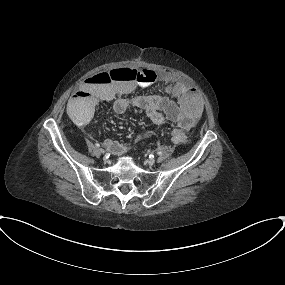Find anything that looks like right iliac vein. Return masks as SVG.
<instances>
[{
  "mask_svg": "<svg viewBox=\"0 0 285 285\" xmlns=\"http://www.w3.org/2000/svg\"><path fill=\"white\" fill-rule=\"evenodd\" d=\"M98 152H99L100 154H104V153H105V150H104L103 148H100V149H98Z\"/></svg>",
  "mask_w": 285,
  "mask_h": 285,
  "instance_id": "63e3f726",
  "label": "right iliac vein"
}]
</instances>
